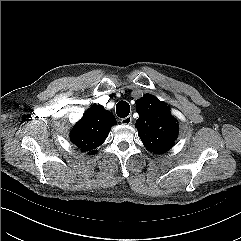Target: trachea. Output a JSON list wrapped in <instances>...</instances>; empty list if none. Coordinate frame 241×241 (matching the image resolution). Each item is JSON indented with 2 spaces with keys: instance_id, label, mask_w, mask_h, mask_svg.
<instances>
[{
  "instance_id": "obj_1",
  "label": "trachea",
  "mask_w": 241,
  "mask_h": 241,
  "mask_svg": "<svg viewBox=\"0 0 241 241\" xmlns=\"http://www.w3.org/2000/svg\"><path fill=\"white\" fill-rule=\"evenodd\" d=\"M116 113L120 118H125L130 113V106L126 101H119L116 105Z\"/></svg>"
}]
</instances>
